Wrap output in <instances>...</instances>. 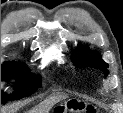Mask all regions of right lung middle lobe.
<instances>
[{"instance_id":"right-lung-middle-lobe-1","label":"right lung middle lobe","mask_w":123,"mask_h":113,"mask_svg":"<svg viewBox=\"0 0 123 113\" xmlns=\"http://www.w3.org/2000/svg\"><path fill=\"white\" fill-rule=\"evenodd\" d=\"M21 67L14 62H7L1 66V78L7 80L13 76H22ZM41 86V79L39 76L30 74H23L22 82L18 83L17 91L14 98L21 99L25 96H30ZM8 99L6 93L1 92V103Z\"/></svg>"}]
</instances>
